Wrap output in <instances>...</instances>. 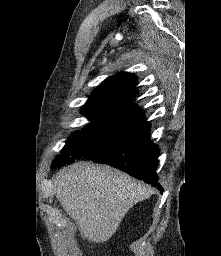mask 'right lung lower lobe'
Returning <instances> with one entry per match:
<instances>
[{
	"mask_svg": "<svg viewBox=\"0 0 221 256\" xmlns=\"http://www.w3.org/2000/svg\"><path fill=\"white\" fill-rule=\"evenodd\" d=\"M150 125H140L96 148L84 159L105 163L121 169L163 191L156 168L159 148L149 140Z\"/></svg>",
	"mask_w": 221,
	"mask_h": 256,
	"instance_id": "right-lung-lower-lobe-1",
	"label": "right lung lower lobe"
}]
</instances>
